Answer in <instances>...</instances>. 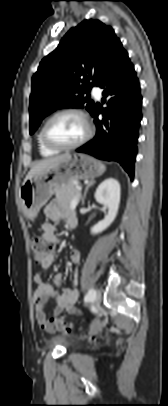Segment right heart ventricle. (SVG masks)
Here are the masks:
<instances>
[{
  "label": "right heart ventricle",
  "mask_w": 168,
  "mask_h": 406,
  "mask_svg": "<svg viewBox=\"0 0 168 406\" xmlns=\"http://www.w3.org/2000/svg\"><path fill=\"white\" fill-rule=\"evenodd\" d=\"M37 145H38L40 154L44 157L53 156L56 153H58L57 150L50 149L43 143V141L41 139V130L37 134Z\"/></svg>",
  "instance_id": "e07e8e85"
}]
</instances>
